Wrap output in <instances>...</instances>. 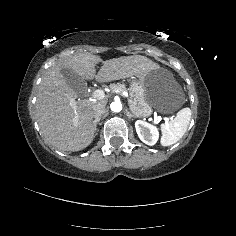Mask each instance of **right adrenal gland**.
<instances>
[{"label": "right adrenal gland", "instance_id": "2a0ac1e0", "mask_svg": "<svg viewBox=\"0 0 236 236\" xmlns=\"http://www.w3.org/2000/svg\"><path fill=\"white\" fill-rule=\"evenodd\" d=\"M101 119H102V118H101V117H99L97 121H96V120H95V121H93V123H94V125H95V129H96V123H97V124H99Z\"/></svg>", "mask_w": 236, "mask_h": 236}]
</instances>
